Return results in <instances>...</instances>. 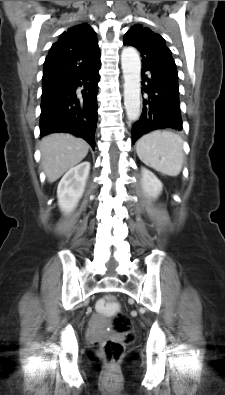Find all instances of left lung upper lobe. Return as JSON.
Instances as JSON below:
<instances>
[{"label":"left lung upper lobe","instance_id":"5c2ea615","mask_svg":"<svg viewBox=\"0 0 225 395\" xmlns=\"http://www.w3.org/2000/svg\"><path fill=\"white\" fill-rule=\"evenodd\" d=\"M123 42L139 50L142 69L161 70L178 76L176 64L165 40L151 29L134 25L125 34Z\"/></svg>","mask_w":225,"mask_h":395}]
</instances>
